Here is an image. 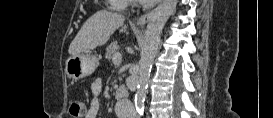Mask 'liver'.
Here are the masks:
<instances>
[{
  "instance_id": "obj_1",
  "label": "liver",
  "mask_w": 273,
  "mask_h": 118,
  "mask_svg": "<svg viewBox=\"0 0 273 118\" xmlns=\"http://www.w3.org/2000/svg\"><path fill=\"white\" fill-rule=\"evenodd\" d=\"M124 16L100 10L93 14L81 27L69 46L70 55H78L106 44L110 36L124 23Z\"/></svg>"
}]
</instances>
